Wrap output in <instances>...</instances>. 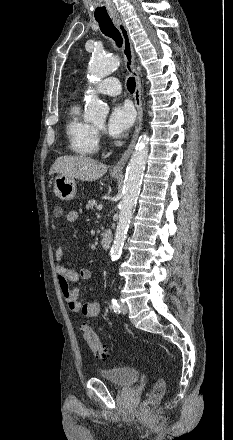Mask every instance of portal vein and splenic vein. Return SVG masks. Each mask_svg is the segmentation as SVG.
I'll use <instances>...</instances> for the list:
<instances>
[{"label": "portal vein and splenic vein", "instance_id": "1", "mask_svg": "<svg viewBox=\"0 0 233 440\" xmlns=\"http://www.w3.org/2000/svg\"><path fill=\"white\" fill-rule=\"evenodd\" d=\"M102 208H103L102 205H98V206H97V209H98V210H102Z\"/></svg>", "mask_w": 233, "mask_h": 440}]
</instances>
